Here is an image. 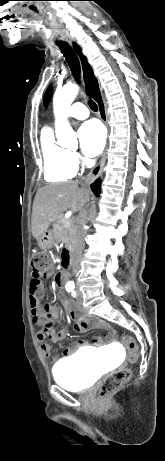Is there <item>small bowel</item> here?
Listing matches in <instances>:
<instances>
[{
    "label": "small bowel",
    "instance_id": "1",
    "mask_svg": "<svg viewBox=\"0 0 165 461\" xmlns=\"http://www.w3.org/2000/svg\"><path fill=\"white\" fill-rule=\"evenodd\" d=\"M49 276V275H47ZM63 271H56V276L54 277V284L61 288L63 286ZM63 307L67 310L69 317L73 318L76 321V329L80 332H85L91 328L100 329L107 332V339L111 341L115 337V331L104 321L101 320H89L84 317L79 311H76L72 308L71 303L66 299H61ZM29 306L32 316V321L35 325L40 327V330L36 334L37 341L40 344V349L45 357L51 358L52 361H57L58 358L53 357L52 348L47 343V339L53 343H58L64 340L68 335V329L66 327L61 328L59 331H56L54 328V320L59 316V310L57 307L52 304H45L43 307L39 305V298L31 293L29 297ZM102 342L101 338H94V344H100ZM88 345V342L85 340H77L73 342L64 352V355H70L81 347Z\"/></svg>",
    "mask_w": 165,
    "mask_h": 461
}]
</instances>
